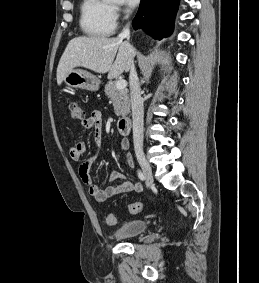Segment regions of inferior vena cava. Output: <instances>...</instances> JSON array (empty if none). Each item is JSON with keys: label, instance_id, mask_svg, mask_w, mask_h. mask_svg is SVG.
<instances>
[{"label": "inferior vena cava", "instance_id": "602c4592", "mask_svg": "<svg viewBox=\"0 0 259 283\" xmlns=\"http://www.w3.org/2000/svg\"><path fill=\"white\" fill-rule=\"evenodd\" d=\"M119 38L129 40L130 30L128 27L123 30ZM129 83L133 118V141L135 149H138L143 147L144 109L140 94L139 78L133 62L130 66Z\"/></svg>", "mask_w": 259, "mask_h": 283}]
</instances>
